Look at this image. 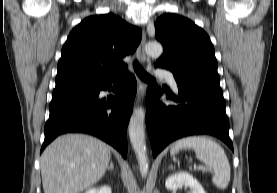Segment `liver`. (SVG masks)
I'll use <instances>...</instances> for the list:
<instances>
[{"instance_id":"obj_1","label":"liver","mask_w":277,"mask_h":193,"mask_svg":"<svg viewBox=\"0 0 277 193\" xmlns=\"http://www.w3.org/2000/svg\"><path fill=\"white\" fill-rule=\"evenodd\" d=\"M110 147L86 134L56 138L42 153L41 176L44 193H80L105 174Z\"/></svg>"}]
</instances>
